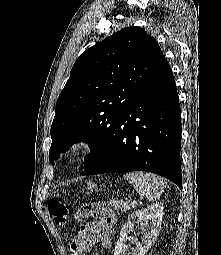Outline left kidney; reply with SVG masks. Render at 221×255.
Listing matches in <instances>:
<instances>
[{"mask_svg":"<svg viewBox=\"0 0 221 255\" xmlns=\"http://www.w3.org/2000/svg\"><path fill=\"white\" fill-rule=\"evenodd\" d=\"M163 209V204L157 202L133 212L121 229L114 255H145L161 230ZM134 224H137V229L143 238L142 242L135 241V248L129 249L126 242L130 232L134 231Z\"/></svg>","mask_w":221,"mask_h":255,"instance_id":"1","label":"left kidney"}]
</instances>
